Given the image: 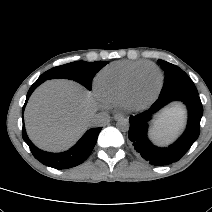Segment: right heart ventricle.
I'll use <instances>...</instances> for the list:
<instances>
[{"instance_id": "right-heart-ventricle-1", "label": "right heart ventricle", "mask_w": 212, "mask_h": 212, "mask_svg": "<svg viewBox=\"0 0 212 212\" xmlns=\"http://www.w3.org/2000/svg\"><path fill=\"white\" fill-rule=\"evenodd\" d=\"M151 64L147 61H118L103 68L95 79L100 99L107 105H118L132 74L140 67Z\"/></svg>"}]
</instances>
